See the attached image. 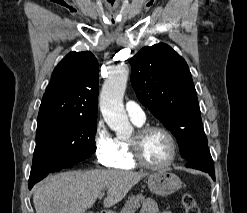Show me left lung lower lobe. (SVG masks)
I'll use <instances>...</instances> for the list:
<instances>
[{"mask_svg":"<svg viewBox=\"0 0 247 213\" xmlns=\"http://www.w3.org/2000/svg\"><path fill=\"white\" fill-rule=\"evenodd\" d=\"M187 160V167L207 172L212 179L215 180L214 162L207 144L200 145L194 154Z\"/></svg>","mask_w":247,"mask_h":213,"instance_id":"left-lung-lower-lobe-1","label":"left lung lower lobe"}]
</instances>
